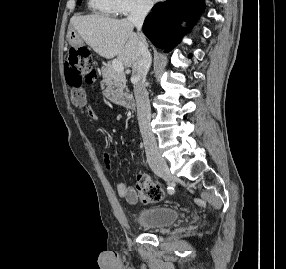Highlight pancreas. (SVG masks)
Returning <instances> with one entry per match:
<instances>
[{
	"mask_svg": "<svg viewBox=\"0 0 286 269\" xmlns=\"http://www.w3.org/2000/svg\"><path fill=\"white\" fill-rule=\"evenodd\" d=\"M104 95L112 102L119 103L124 95L126 77L123 72L115 71L111 64L105 65L102 69Z\"/></svg>",
	"mask_w": 286,
	"mask_h": 269,
	"instance_id": "pancreas-1",
	"label": "pancreas"
}]
</instances>
